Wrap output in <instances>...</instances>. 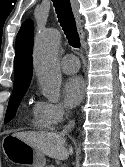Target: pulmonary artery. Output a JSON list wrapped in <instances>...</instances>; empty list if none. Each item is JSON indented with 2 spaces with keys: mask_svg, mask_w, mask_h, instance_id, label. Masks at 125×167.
Instances as JSON below:
<instances>
[{
  "mask_svg": "<svg viewBox=\"0 0 125 167\" xmlns=\"http://www.w3.org/2000/svg\"><path fill=\"white\" fill-rule=\"evenodd\" d=\"M59 63L62 71L67 74H75L79 70V61L73 54L64 55L61 57Z\"/></svg>",
  "mask_w": 125,
  "mask_h": 167,
  "instance_id": "obj_1",
  "label": "pulmonary artery"
}]
</instances>
